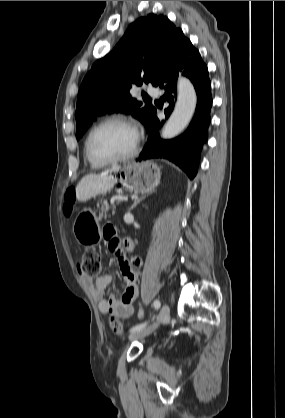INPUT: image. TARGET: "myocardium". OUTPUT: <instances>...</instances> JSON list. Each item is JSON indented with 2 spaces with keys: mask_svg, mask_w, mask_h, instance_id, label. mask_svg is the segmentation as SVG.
I'll return each instance as SVG.
<instances>
[{
  "mask_svg": "<svg viewBox=\"0 0 285 418\" xmlns=\"http://www.w3.org/2000/svg\"><path fill=\"white\" fill-rule=\"evenodd\" d=\"M110 124L124 125V126L132 128L135 131V134H136L135 144L129 153L123 156H119V157H100V156H97L92 151L91 140L94 134L102 127H105ZM139 144H140L139 134L136 131V129L133 127L131 122L123 117L115 116V117H109L100 121L90 130L85 140V152L90 161L96 164H100V165H109V164H115V163L124 162V161L132 159L138 153Z\"/></svg>",
  "mask_w": 285,
  "mask_h": 418,
  "instance_id": "obj_1",
  "label": "myocardium"
}]
</instances>
